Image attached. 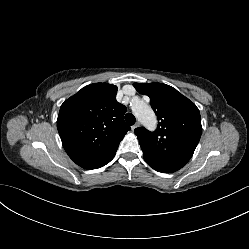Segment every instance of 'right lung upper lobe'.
I'll use <instances>...</instances> for the list:
<instances>
[{
  "label": "right lung upper lobe",
  "mask_w": 249,
  "mask_h": 249,
  "mask_svg": "<svg viewBox=\"0 0 249 249\" xmlns=\"http://www.w3.org/2000/svg\"><path fill=\"white\" fill-rule=\"evenodd\" d=\"M116 93L115 85L90 84L61 105L57 129L75 163L117 150L130 130L123 119L127 109L117 102Z\"/></svg>",
  "instance_id": "right-lung-upper-lobe-1"
}]
</instances>
